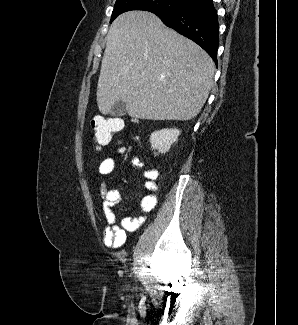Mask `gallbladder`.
Instances as JSON below:
<instances>
[{
    "label": "gallbladder",
    "mask_w": 298,
    "mask_h": 325,
    "mask_svg": "<svg viewBox=\"0 0 298 325\" xmlns=\"http://www.w3.org/2000/svg\"><path fill=\"white\" fill-rule=\"evenodd\" d=\"M111 116H124L126 114V102L124 100H117L110 108Z\"/></svg>",
    "instance_id": "obj_1"
}]
</instances>
